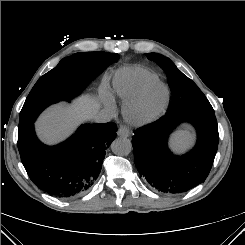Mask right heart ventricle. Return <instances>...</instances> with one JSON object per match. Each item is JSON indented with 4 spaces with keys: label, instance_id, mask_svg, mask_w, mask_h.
I'll use <instances>...</instances> for the list:
<instances>
[{
    "label": "right heart ventricle",
    "instance_id": "obj_1",
    "mask_svg": "<svg viewBox=\"0 0 245 245\" xmlns=\"http://www.w3.org/2000/svg\"><path fill=\"white\" fill-rule=\"evenodd\" d=\"M158 79L151 70L140 67H124L119 69L113 80V93L123 103L131 100L148 82Z\"/></svg>",
    "mask_w": 245,
    "mask_h": 245
}]
</instances>
